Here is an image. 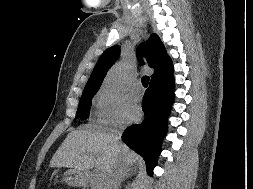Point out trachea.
<instances>
[{
  "mask_svg": "<svg viewBox=\"0 0 253 189\" xmlns=\"http://www.w3.org/2000/svg\"><path fill=\"white\" fill-rule=\"evenodd\" d=\"M149 79H150V78H149L148 76L142 77L141 81H142V84H143L144 87H147V86H148V84H149Z\"/></svg>",
  "mask_w": 253,
  "mask_h": 189,
  "instance_id": "1",
  "label": "trachea"
}]
</instances>
